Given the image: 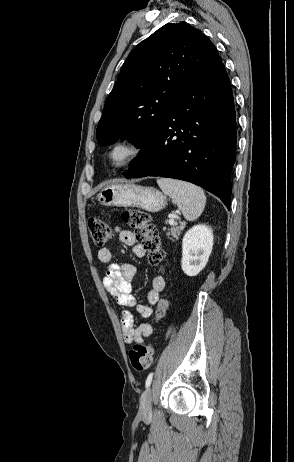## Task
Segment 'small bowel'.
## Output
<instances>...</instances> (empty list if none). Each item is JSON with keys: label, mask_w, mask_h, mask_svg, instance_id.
Segmentation results:
<instances>
[{"label": "small bowel", "mask_w": 294, "mask_h": 462, "mask_svg": "<svg viewBox=\"0 0 294 462\" xmlns=\"http://www.w3.org/2000/svg\"><path fill=\"white\" fill-rule=\"evenodd\" d=\"M120 240L127 246L132 247L137 257H143L145 251L137 244L135 235L128 230L117 229ZM98 259L107 265L106 274L103 278V285L106 291L116 300L117 304L125 307L121 316V329L126 343H142L144 339L153 333V327L149 323L136 325L133 313L134 309L140 317L148 318L152 314L150 305L159 302L160 294L165 289V279L162 276H155L152 280V287L146 294L148 304L137 302L133 294L132 281L136 275V267L129 263H116L113 261V254L110 249L102 248L98 251Z\"/></svg>", "instance_id": "obj_1"}]
</instances>
